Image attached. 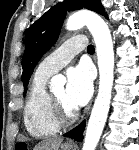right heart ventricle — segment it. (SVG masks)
I'll return each mask as SVG.
<instances>
[{"label": "right heart ventricle", "mask_w": 139, "mask_h": 150, "mask_svg": "<svg viewBox=\"0 0 139 150\" xmlns=\"http://www.w3.org/2000/svg\"><path fill=\"white\" fill-rule=\"evenodd\" d=\"M49 76H34L24 107V124L28 133L36 138L58 132L59 126L52 120L47 99L46 82Z\"/></svg>", "instance_id": "obj_1"}]
</instances>
